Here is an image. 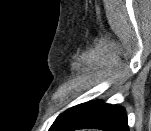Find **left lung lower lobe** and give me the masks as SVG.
<instances>
[{
  "mask_svg": "<svg viewBox=\"0 0 151 131\" xmlns=\"http://www.w3.org/2000/svg\"><path fill=\"white\" fill-rule=\"evenodd\" d=\"M100 129L104 131H129L123 108L100 101L84 103L60 114L49 131Z\"/></svg>",
  "mask_w": 151,
  "mask_h": 131,
  "instance_id": "0a47b994",
  "label": "left lung lower lobe"
}]
</instances>
